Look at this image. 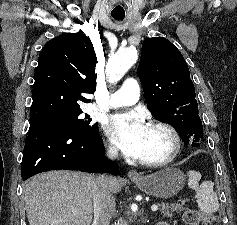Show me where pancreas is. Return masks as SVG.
<instances>
[{
  "label": "pancreas",
  "instance_id": "cf45deb5",
  "mask_svg": "<svg viewBox=\"0 0 237 225\" xmlns=\"http://www.w3.org/2000/svg\"><path fill=\"white\" fill-rule=\"evenodd\" d=\"M161 209L160 212L164 217H172L173 216V212H181L184 210L183 206L180 204H167V203H160L159 204Z\"/></svg>",
  "mask_w": 237,
  "mask_h": 225
}]
</instances>
